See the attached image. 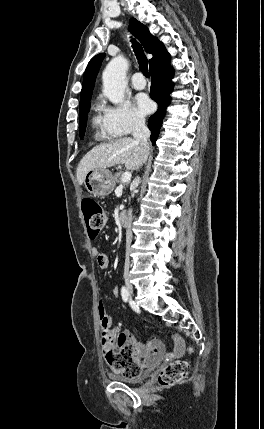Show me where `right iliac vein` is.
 <instances>
[{
	"label": "right iliac vein",
	"mask_w": 264,
	"mask_h": 429,
	"mask_svg": "<svg viewBox=\"0 0 264 429\" xmlns=\"http://www.w3.org/2000/svg\"><path fill=\"white\" fill-rule=\"evenodd\" d=\"M124 280H125V285H126V289H127L128 293L130 295H132L133 294V286L130 283V276H129L128 272L124 273Z\"/></svg>",
	"instance_id": "1"
}]
</instances>
